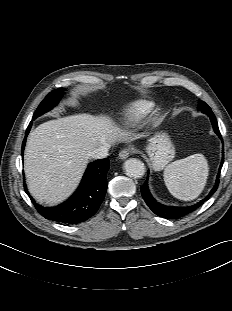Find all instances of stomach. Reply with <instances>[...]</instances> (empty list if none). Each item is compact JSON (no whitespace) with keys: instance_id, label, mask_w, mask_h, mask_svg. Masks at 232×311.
Here are the masks:
<instances>
[{"instance_id":"0dacf381","label":"stomach","mask_w":232,"mask_h":311,"mask_svg":"<svg viewBox=\"0 0 232 311\" xmlns=\"http://www.w3.org/2000/svg\"><path fill=\"white\" fill-rule=\"evenodd\" d=\"M152 168L162 170L175 157L174 145L167 133H157L146 148Z\"/></svg>"}]
</instances>
